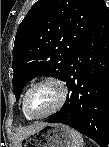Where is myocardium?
Instances as JSON below:
<instances>
[{
	"mask_svg": "<svg viewBox=\"0 0 109 147\" xmlns=\"http://www.w3.org/2000/svg\"><path fill=\"white\" fill-rule=\"evenodd\" d=\"M45 84H51V85L55 86L59 90V98H58L56 104L52 108L47 110L46 112H44L42 114H34L28 108V104H27L28 98L36 88H38L39 86L45 85ZM67 97H68V88H67L66 83L59 77L48 76V77H45V78L41 79L40 81L36 82L34 85H32L27 90V92L25 93L24 98H23V109L28 116H30L34 119L44 118V117L50 116V115L58 112L66 103Z\"/></svg>",
	"mask_w": 109,
	"mask_h": 147,
	"instance_id": "1",
	"label": "myocardium"
}]
</instances>
